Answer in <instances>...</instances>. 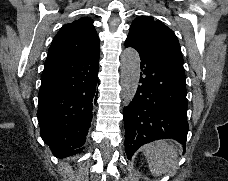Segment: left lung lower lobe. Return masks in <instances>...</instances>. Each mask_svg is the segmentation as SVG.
Segmentation results:
<instances>
[{"label":"left lung lower lobe","instance_id":"1","mask_svg":"<svg viewBox=\"0 0 228 181\" xmlns=\"http://www.w3.org/2000/svg\"><path fill=\"white\" fill-rule=\"evenodd\" d=\"M141 59L140 85L124 108L125 149L128 159L143 144L171 138L186 148V82L183 62L142 50L129 41Z\"/></svg>","mask_w":228,"mask_h":181}]
</instances>
